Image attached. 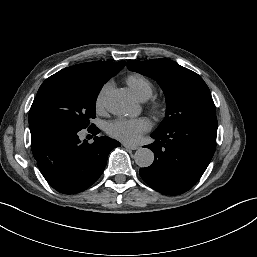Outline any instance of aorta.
<instances>
[{"label": "aorta", "mask_w": 257, "mask_h": 257, "mask_svg": "<svg viewBox=\"0 0 257 257\" xmlns=\"http://www.w3.org/2000/svg\"><path fill=\"white\" fill-rule=\"evenodd\" d=\"M105 107L116 115H132L137 111L131 93L125 88H112L105 92L103 96ZM135 163L142 168L153 164L154 153L148 148H139L134 155Z\"/></svg>", "instance_id": "obj_1"}]
</instances>
